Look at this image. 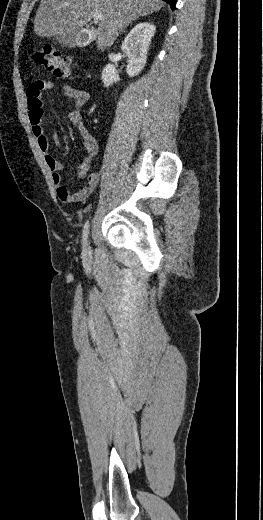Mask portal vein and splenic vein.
I'll return each instance as SVG.
<instances>
[{
	"mask_svg": "<svg viewBox=\"0 0 263 520\" xmlns=\"http://www.w3.org/2000/svg\"><path fill=\"white\" fill-rule=\"evenodd\" d=\"M93 17H94L95 20H101L104 16H103V14L101 12H95L93 14Z\"/></svg>",
	"mask_w": 263,
	"mask_h": 520,
	"instance_id": "portal-vein-and-splenic-vein-1",
	"label": "portal vein and splenic vein"
}]
</instances>
